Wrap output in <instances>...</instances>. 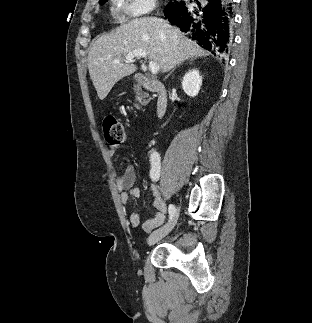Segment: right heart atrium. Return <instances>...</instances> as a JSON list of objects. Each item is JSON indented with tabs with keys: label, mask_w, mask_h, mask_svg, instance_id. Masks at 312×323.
Returning <instances> with one entry per match:
<instances>
[{
	"label": "right heart atrium",
	"mask_w": 312,
	"mask_h": 323,
	"mask_svg": "<svg viewBox=\"0 0 312 323\" xmlns=\"http://www.w3.org/2000/svg\"><path fill=\"white\" fill-rule=\"evenodd\" d=\"M123 13H129L130 17H141L142 13H155L160 9L162 0H119Z\"/></svg>",
	"instance_id": "d8ad5b80"
}]
</instances>
